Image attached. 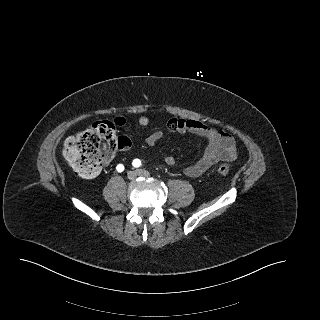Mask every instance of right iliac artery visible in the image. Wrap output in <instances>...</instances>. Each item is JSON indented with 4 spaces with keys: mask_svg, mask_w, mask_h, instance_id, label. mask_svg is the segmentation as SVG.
<instances>
[{
    "mask_svg": "<svg viewBox=\"0 0 320 320\" xmlns=\"http://www.w3.org/2000/svg\"><path fill=\"white\" fill-rule=\"evenodd\" d=\"M116 169L118 172H122L124 170V166L122 164H118Z\"/></svg>",
    "mask_w": 320,
    "mask_h": 320,
    "instance_id": "1",
    "label": "right iliac artery"
}]
</instances>
